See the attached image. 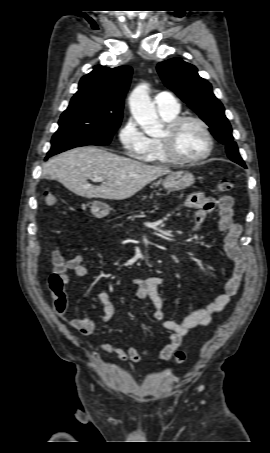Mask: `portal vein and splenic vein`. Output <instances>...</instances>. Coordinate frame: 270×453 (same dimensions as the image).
Instances as JSON below:
<instances>
[{
  "mask_svg": "<svg viewBox=\"0 0 270 453\" xmlns=\"http://www.w3.org/2000/svg\"><path fill=\"white\" fill-rule=\"evenodd\" d=\"M104 178L103 177H95L93 179L94 182H103Z\"/></svg>",
  "mask_w": 270,
  "mask_h": 453,
  "instance_id": "portal-vein-and-splenic-vein-1",
  "label": "portal vein and splenic vein"
}]
</instances>
